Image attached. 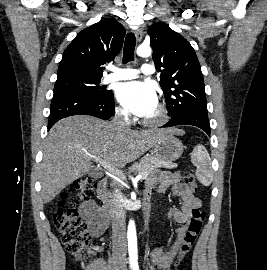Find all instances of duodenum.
Wrapping results in <instances>:
<instances>
[{
    "instance_id": "obj_1",
    "label": "duodenum",
    "mask_w": 267,
    "mask_h": 270,
    "mask_svg": "<svg viewBox=\"0 0 267 270\" xmlns=\"http://www.w3.org/2000/svg\"><path fill=\"white\" fill-rule=\"evenodd\" d=\"M107 187H108V179L106 177L102 178L97 185V197L102 202V204L105 206V208L109 212V217L115 221L120 222L121 221V211L118 210L116 207L112 205L110 202L108 195H107ZM148 198H144V209H143V224L146 225L148 222Z\"/></svg>"
}]
</instances>
